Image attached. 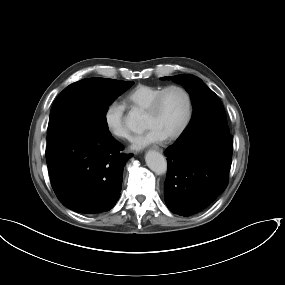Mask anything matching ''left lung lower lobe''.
I'll use <instances>...</instances> for the list:
<instances>
[{
  "label": "left lung lower lobe",
  "instance_id": "left-lung-lower-lobe-1",
  "mask_svg": "<svg viewBox=\"0 0 285 285\" xmlns=\"http://www.w3.org/2000/svg\"><path fill=\"white\" fill-rule=\"evenodd\" d=\"M233 137L207 132L169 146L164 154L168 172L164 183L167 207L190 216L209 206L228 184Z\"/></svg>",
  "mask_w": 285,
  "mask_h": 285
}]
</instances>
